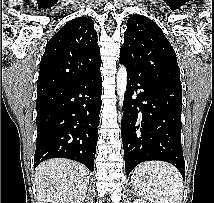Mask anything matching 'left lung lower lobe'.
<instances>
[{
  "label": "left lung lower lobe",
  "mask_w": 214,
  "mask_h": 203,
  "mask_svg": "<svg viewBox=\"0 0 214 203\" xmlns=\"http://www.w3.org/2000/svg\"><path fill=\"white\" fill-rule=\"evenodd\" d=\"M127 91L121 124L125 171L160 160L185 178L181 146L182 88L127 69Z\"/></svg>",
  "instance_id": "1"
}]
</instances>
